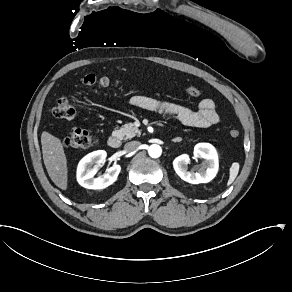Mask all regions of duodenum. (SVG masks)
I'll list each match as a JSON object with an SVG mask.
<instances>
[{
    "label": "duodenum",
    "mask_w": 292,
    "mask_h": 292,
    "mask_svg": "<svg viewBox=\"0 0 292 292\" xmlns=\"http://www.w3.org/2000/svg\"><path fill=\"white\" fill-rule=\"evenodd\" d=\"M108 146L112 149H117L120 147L121 145V140L120 137L118 135H112L108 138Z\"/></svg>",
    "instance_id": "obj_1"
}]
</instances>
